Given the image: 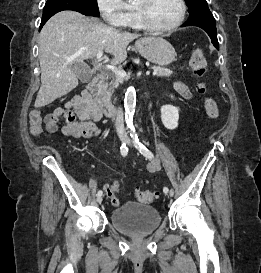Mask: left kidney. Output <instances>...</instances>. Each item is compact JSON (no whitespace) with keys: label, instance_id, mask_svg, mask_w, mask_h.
<instances>
[{"label":"left kidney","instance_id":"left-kidney-1","mask_svg":"<svg viewBox=\"0 0 261 273\" xmlns=\"http://www.w3.org/2000/svg\"><path fill=\"white\" fill-rule=\"evenodd\" d=\"M179 109L172 105H163L161 107V121L163 125L169 129L174 130L178 127Z\"/></svg>","mask_w":261,"mask_h":273}]
</instances>
